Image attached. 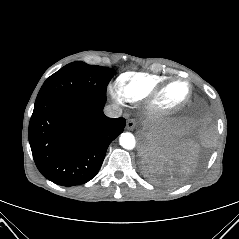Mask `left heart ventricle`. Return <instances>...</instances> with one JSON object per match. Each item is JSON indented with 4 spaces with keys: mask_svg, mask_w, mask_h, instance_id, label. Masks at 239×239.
Instances as JSON below:
<instances>
[{
    "mask_svg": "<svg viewBox=\"0 0 239 239\" xmlns=\"http://www.w3.org/2000/svg\"><path fill=\"white\" fill-rule=\"evenodd\" d=\"M186 92L187 88L182 83L171 86L163 96V104L166 106L176 105L185 97Z\"/></svg>",
    "mask_w": 239,
    "mask_h": 239,
    "instance_id": "1",
    "label": "left heart ventricle"
}]
</instances>
